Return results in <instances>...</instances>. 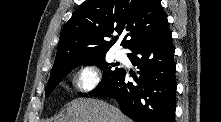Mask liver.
I'll return each mask as SVG.
<instances>
[{
  "label": "liver",
  "instance_id": "6515ba94",
  "mask_svg": "<svg viewBox=\"0 0 221 122\" xmlns=\"http://www.w3.org/2000/svg\"><path fill=\"white\" fill-rule=\"evenodd\" d=\"M60 122H130L118 108L96 99L78 98L67 105Z\"/></svg>",
  "mask_w": 221,
  "mask_h": 122
}]
</instances>
